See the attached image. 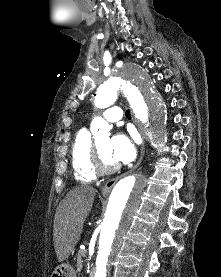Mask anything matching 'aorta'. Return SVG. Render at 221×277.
I'll return each instance as SVG.
<instances>
[{"label": "aorta", "instance_id": "1", "mask_svg": "<svg viewBox=\"0 0 221 277\" xmlns=\"http://www.w3.org/2000/svg\"><path fill=\"white\" fill-rule=\"evenodd\" d=\"M127 97L135 117L147 133L162 146L168 139L167 111L160 94L155 91L145 70L137 65H126L117 74L102 83L95 97V106L107 108L118 96ZM109 124L101 117L91 123V132L97 138L107 136ZM145 187L142 176L130 175L119 180L109 196L106 212L101 222L96 271L94 277H106L107 266L120 248L140 203Z\"/></svg>", "mask_w": 221, "mask_h": 277}]
</instances>
